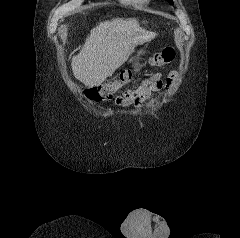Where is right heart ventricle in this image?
<instances>
[{"label": "right heart ventricle", "mask_w": 240, "mask_h": 238, "mask_svg": "<svg viewBox=\"0 0 240 238\" xmlns=\"http://www.w3.org/2000/svg\"><path fill=\"white\" fill-rule=\"evenodd\" d=\"M118 1L124 5L140 6V5H144L145 3H147L148 0H118Z\"/></svg>", "instance_id": "e07e8e85"}]
</instances>
